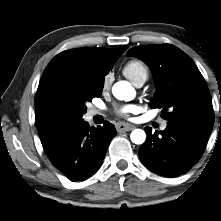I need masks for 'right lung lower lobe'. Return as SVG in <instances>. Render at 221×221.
Masks as SVG:
<instances>
[{"label":"right lung lower lobe","instance_id":"right-lung-lower-lobe-1","mask_svg":"<svg viewBox=\"0 0 221 221\" xmlns=\"http://www.w3.org/2000/svg\"><path fill=\"white\" fill-rule=\"evenodd\" d=\"M116 135L113 124L90 127L82 121L64 134L47 152L52 164L71 180L91 177L101 167L112 138Z\"/></svg>","mask_w":221,"mask_h":221}]
</instances>
